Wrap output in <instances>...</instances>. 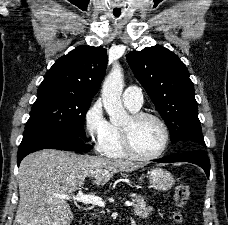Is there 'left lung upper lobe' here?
I'll use <instances>...</instances> for the list:
<instances>
[{
    "mask_svg": "<svg viewBox=\"0 0 228 225\" xmlns=\"http://www.w3.org/2000/svg\"><path fill=\"white\" fill-rule=\"evenodd\" d=\"M126 58L165 120L171 141H185L192 150L205 148L194 85L177 55L164 47L152 46L131 51Z\"/></svg>",
    "mask_w": 228,
    "mask_h": 225,
    "instance_id": "obj_1",
    "label": "left lung upper lobe"
}]
</instances>
